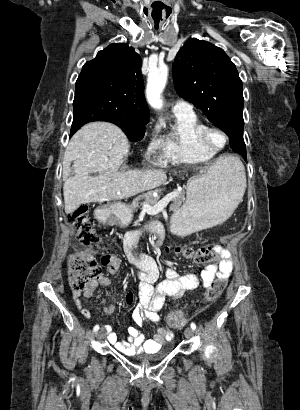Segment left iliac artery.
<instances>
[{
  "instance_id": "obj_1",
  "label": "left iliac artery",
  "mask_w": 300,
  "mask_h": 410,
  "mask_svg": "<svg viewBox=\"0 0 300 410\" xmlns=\"http://www.w3.org/2000/svg\"><path fill=\"white\" fill-rule=\"evenodd\" d=\"M190 326H191V328H192L193 330L196 329V324H195V323L192 322Z\"/></svg>"
}]
</instances>
